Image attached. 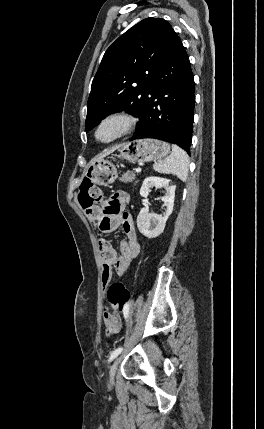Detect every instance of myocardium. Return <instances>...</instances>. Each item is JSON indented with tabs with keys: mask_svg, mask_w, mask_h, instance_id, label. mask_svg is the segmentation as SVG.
Wrapping results in <instances>:
<instances>
[{
	"mask_svg": "<svg viewBox=\"0 0 264 429\" xmlns=\"http://www.w3.org/2000/svg\"><path fill=\"white\" fill-rule=\"evenodd\" d=\"M109 123H117L118 130L109 138H102L100 133L102 129ZM136 119L127 112H113L104 116L96 125L94 130V138L98 143L109 144L120 138L125 137L134 129Z\"/></svg>",
	"mask_w": 264,
	"mask_h": 429,
	"instance_id": "myocardium-1",
	"label": "myocardium"
}]
</instances>
